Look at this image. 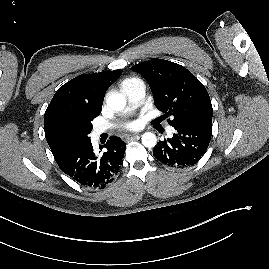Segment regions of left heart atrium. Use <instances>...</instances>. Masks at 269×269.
Returning <instances> with one entry per match:
<instances>
[{
  "instance_id": "left-heart-atrium-1",
  "label": "left heart atrium",
  "mask_w": 269,
  "mask_h": 269,
  "mask_svg": "<svg viewBox=\"0 0 269 269\" xmlns=\"http://www.w3.org/2000/svg\"><path fill=\"white\" fill-rule=\"evenodd\" d=\"M136 126H137V123H136V122H130V123H127V124L124 126V128H125V129H134V128H136Z\"/></svg>"
}]
</instances>
